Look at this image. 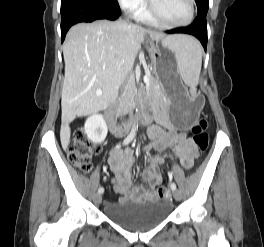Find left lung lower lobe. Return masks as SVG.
Segmentation results:
<instances>
[{
  "label": "left lung lower lobe",
  "mask_w": 264,
  "mask_h": 247,
  "mask_svg": "<svg viewBox=\"0 0 264 247\" xmlns=\"http://www.w3.org/2000/svg\"><path fill=\"white\" fill-rule=\"evenodd\" d=\"M169 34L175 33H185L194 35L201 41L204 49L206 50L207 46V21L206 16H197L195 21L188 27L185 28H176L169 31H166Z\"/></svg>",
  "instance_id": "0a47b994"
}]
</instances>
